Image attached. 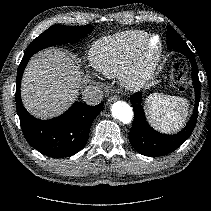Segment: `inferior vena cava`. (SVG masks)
<instances>
[{"mask_svg":"<svg viewBox=\"0 0 211 211\" xmlns=\"http://www.w3.org/2000/svg\"><path fill=\"white\" fill-rule=\"evenodd\" d=\"M103 98V92L95 86H86L82 90V99L88 105H97Z\"/></svg>","mask_w":211,"mask_h":211,"instance_id":"1","label":"inferior vena cava"}]
</instances>
